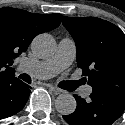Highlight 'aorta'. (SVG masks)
Listing matches in <instances>:
<instances>
[{
    "label": "aorta",
    "instance_id": "aorta-1",
    "mask_svg": "<svg viewBox=\"0 0 125 125\" xmlns=\"http://www.w3.org/2000/svg\"><path fill=\"white\" fill-rule=\"evenodd\" d=\"M55 41L48 34L36 36L32 42V51L39 58H48L55 52ZM76 100L70 94H61L55 100V108L62 115H69L76 109Z\"/></svg>",
    "mask_w": 125,
    "mask_h": 125
}]
</instances>
